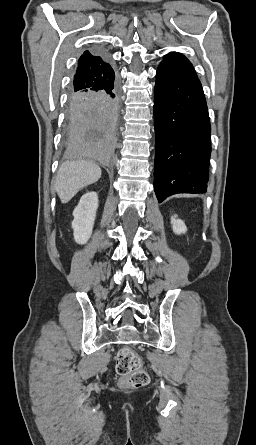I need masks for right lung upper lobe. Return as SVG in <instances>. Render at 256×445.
<instances>
[{
	"instance_id": "cb5924a9",
	"label": "right lung upper lobe",
	"mask_w": 256,
	"mask_h": 445,
	"mask_svg": "<svg viewBox=\"0 0 256 445\" xmlns=\"http://www.w3.org/2000/svg\"><path fill=\"white\" fill-rule=\"evenodd\" d=\"M112 70V66L104 55H95L85 51L78 61L71 94L83 90H95L103 86L110 81Z\"/></svg>"
}]
</instances>
